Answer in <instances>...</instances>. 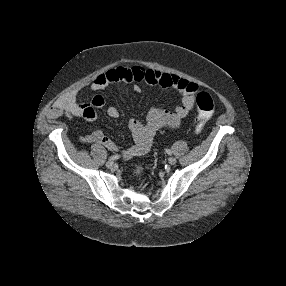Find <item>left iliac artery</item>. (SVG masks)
Returning <instances> with one entry per match:
<instances>
[{
    "mask_svg": "<svg viewBox=\"0 0 286 286\" xmlns=\"http://www.w3.org/2000/svg\"><path fill=\"white\" fill-rule=\"evenodd\" d=\"M166 153L169 154V155L172 154L171 150H169V149H166Z\"/></svg>",
    "mask_w": 286,
    "mask_h": 286,
    "instance_id": "1",
    "label": "left iliac artery"
}]
</instances>
